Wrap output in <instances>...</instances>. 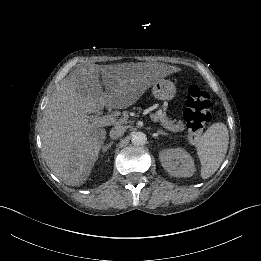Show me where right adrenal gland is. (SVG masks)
Instances as JSON below:
<instances>
[{
  "mask_svg": "<svg viewBox=\"0 0 261 261\" xmlns=\"http://www.w3.org/2000/svg\"><path fill=\"white\" fill-rule=\"evenodd\" d=\"M114 141H111L109 144H107L106 146H102V151L106 152L109 148L112 147Z\"/></svg>",
  "mask_w": 261,
  "mask_h": 261,
  "instance_id": "1",
  "label": "right adrenal gland"
}]
</instances>
